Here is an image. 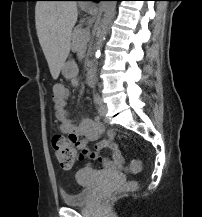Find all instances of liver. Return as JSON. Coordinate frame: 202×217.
Here are the masks:
<instances>
[{
    "mask_svg": "<svg viewBox=\"0 0 202 217\" xmlns=\"http://www.w3.org/2000/svg\"><path fill=\"white\" fill-rule=\"evenodd\" d=\"M74 1H39L35 23L39 43L53 79H57L70 52L72 29L77 21Z\"/></svg>",
    "mask_w": 202,
    "mask_h": 217,
    "instance_id": "liver-1",
    "label": "liver"
}]
</instances>
